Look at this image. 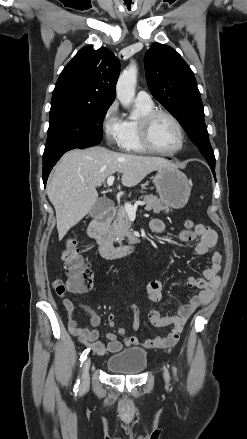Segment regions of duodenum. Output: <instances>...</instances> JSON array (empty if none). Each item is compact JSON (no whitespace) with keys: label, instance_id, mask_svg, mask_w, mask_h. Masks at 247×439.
I'll return each instance as SVG.
<instances>
[{"label":"duodenum","instance_id":"duodenum-1","mask_svg":"<svg viewBox=\"0 0 247 439\" xmlns=\"http://www.w3.org/2000/svg\"><path fill=\"white\" fill-rule=\"evenodd\" d=\"M115 207L110 206L104 212L94 218L88 227V234L93 238L99 247L100 254L106 259H115L130 254L136 247V242L122 246H115L106 233V228L112 220Z\"/></svg>","mask_w":247,"mask_h":439}]
</instances>
